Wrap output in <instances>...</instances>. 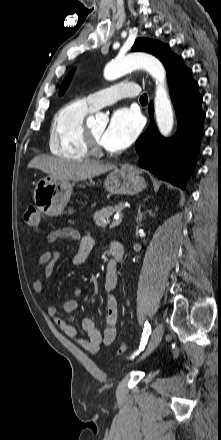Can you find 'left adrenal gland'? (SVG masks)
<instances>
[{
    "instance_id": "obj_1",
    "label": "left adrenal gland",
    "mask_w": 221,
    "mask_h": 440,
    "mask_svg": "<svg viewBox=\"0 0 221 440\" xmlns=\"http://www.w3.org/2000/svg\"><path fill=\"white\" fill-rule=\"evenodd\" d=\"M142 220V214H141V212L139 211L138 212V221H141Z\"/></svg>"
}]
</instances>
